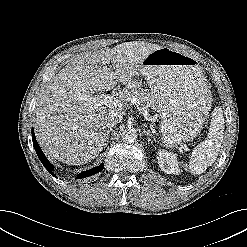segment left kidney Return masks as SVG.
I'll return each mask as SVG.
<instances>
[{
	"mask_svg": "<svg viewBox=\"0 0 247 247\" xmlns=\"http://www.w3.org/2000/svg\"><path fill=\"white\" fill-rule=\"evenodd\" d=\"M158 164L162 171L167 174H179V162L174 153L165 150H159L157 153Z\"/></svg>",
	"mask_w": 247,
	"mask_h": 247,
	"instance_id": "5707ae66",
	"label": "left kidney"
}]
</instances>
